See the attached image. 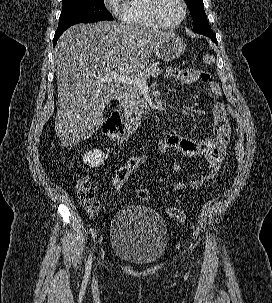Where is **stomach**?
<instances>
[{
    "mask_svg": "<svg viewBox=\"0 0 272 303\" xmlns=\"http://www.w3.org/2000/svg\"><path fill=\"white\" fill-rule=\"evenodd\" d=\"M186 49V44L177 35L170 33L157 47L155 54L158 59L170 61L180 57Z\"/></svg>",
    "mask_w": 272,
    "mask_h": 303,
    "instance_id": "stomach-1",
    "label": "stomach"
}]
</instances>
